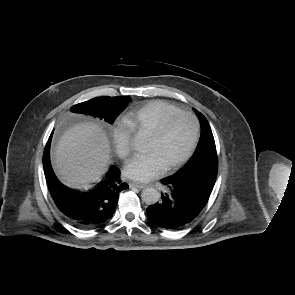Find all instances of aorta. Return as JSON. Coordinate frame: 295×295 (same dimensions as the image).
Returning a JSON list of instances; mask_svg holds the SVG:
<instances>
[{"mask_svg": "<svg viewBox=\"0 0 295 295\" xmlns=\"http://www.w3.org/2000/svg\"><path fill=\"white\" fill-rule=\"evenodd\" d=\"M141 198H142V201L145 202L146 204L153 205L159 200L160 193L155 188H152V187L145 188L141 193Z\"/></svg>", "mask_w": 295, "mask_h": 295, "instance_id": "aorta-1", "label": "aorta"}]
</instances>
